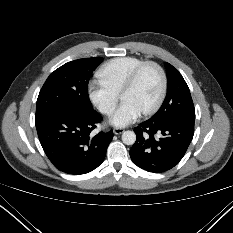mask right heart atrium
Returning <instances> with one entry per match:
<instances>
[{"label":"right heart atrium","mask_w":233,"mask_h":233,"mask_svg":"<svg viewBox=\"0 0 233 233\" xmlns=\"http://www.w3.org/2000/svg\"><path fill=\"white\" fill-rule=\"evenodd\" d=\"M88 96L93 105L104 115H111L118 103L119 95L100 80H92L88 86Z\"/></svg>","instance_id":"right-heart-atrium-1"}]
</instances>
